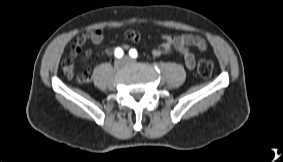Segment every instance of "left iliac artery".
Here are the masks:
<instances>
[{
    "label": "left iliac artery",
    "mask_w": 283,
    "mask_h": 162,
    "mask_svg": "<svg viewBox=\"0 0 283 162\" xmlns=\"http://www.w3.org/2000/svg\"><path fill=\"white\" fill-rule=\"evenodd\" d=\"M129 55H130L132 58H137L138 53H137L136 49H131V50L129 51Z\"/></svg>",
    "instance_id": "1"
}]
</instances>
